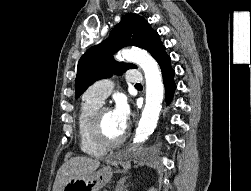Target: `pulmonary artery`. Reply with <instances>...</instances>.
<instances>
[{
    "label": "pulmonary artery",
    "instance_id": "pulmonary-artery-1",
    "mask_svg": "<svg viewBox=\"0 0 251 191\" xmlns=\"http://www.w3.org/2000/svg\"><path fill=\"white\" fill-rule=\"evenodd\" d=\"M130 73H126L127 80L131 82H144V77H140L139 68H130ZM115 80L104 79L95 83L93 89L88 93V97L103 101L113 90Z\"/></svg>",
    "mask_w": 251,
    "mask_h": 191
}]
</instances>
